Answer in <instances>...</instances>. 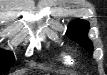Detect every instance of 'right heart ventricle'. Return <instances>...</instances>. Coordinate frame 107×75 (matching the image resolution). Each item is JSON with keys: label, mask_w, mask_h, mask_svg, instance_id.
Listing matches in <instances>:
<instances>
[{"label": "right heart ventricle", "mask_w": 107, "mask_h": 75, "mask_svg": "<svg viewBox=\"0 0 107 75\" xmlns=\"http://www.w3.org/2000/svg\"><path fill=\"white\" fill-rule=\"evenodd\" d=\"M62 62L66 65L74 64V57L70 53H62L61 55Z\"/></svg>", "instance_id": "right-heart-ventricle-1"}]
</instances>
